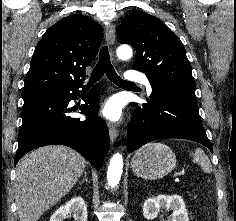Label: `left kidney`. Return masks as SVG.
Masks as SVG:
<instances>
[{
    "mask_svg": "<svg viewBox=\"0 0 236 221\" xmlns=\"http://www.w3.org/2000/svg\"><path fill=\"white\" fill-rule=\"evenodd\" d=\"M161 210L173 211L168 221H189L184 200L179 195H159L144 202L143 215L147 220L156 218Z\"/></svg>",
    "mask_w": 236,
    "mask_h": 221,
    "instance_id": "obj_1",
    "label": "left kidney"
}]
</instances>
